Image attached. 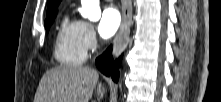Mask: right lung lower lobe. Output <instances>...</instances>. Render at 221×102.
Masks as SVG:
<instances>
[{"mask_svg": "<svg viewBox=\"0 0 221 102\" xmlns=\"http://www.w3.org/2000/svg\"><path fill=\"white\" fill-rule=\"evenodd\" d=\"M122 55L114 62L112 57V47L110 46L97 60L96 65L99 70L106 76H111L117 82L119 79V66L121 63Z\"/></svg>", "mask_w": 221, "mask_h": 102, "instance_id": "98d812e1", "label": "right lung lower lobe"}]
</instances>
